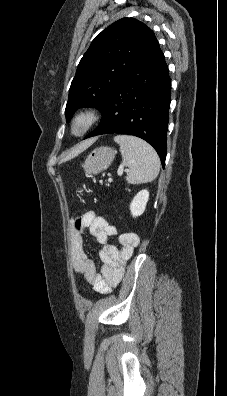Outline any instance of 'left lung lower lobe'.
Returning a JSON list of instances; mask_svg holds the SVG:
<instances>
[{
	"mask_svg": "<svg viewBox=\"0 0 227 396\" xmlns=\"http://www.w3.org/2000/svg\"><path fill=\"white\" fill-rule=\"evenodd\" d=\"M171 80L159 44L130 71L102 107L100 125L89 135L140 137L157 151L164 167Z\"/></svg>",
	"mask_w": 227,
	"mask_h": 396,
	"instance_id": "1",
	"label": "left lung lower lobe"
}]
</instances>
